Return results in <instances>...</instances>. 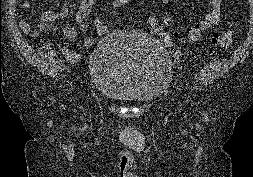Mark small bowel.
<instances>
[{"label":"small bowel","instance_id":"c3829d8e","mask_svg":"<svg viewBox=\"0 0 253 177\" xmlns=\"http://www.w3.org/2000/svg\"><path fill=\"white\" fill-rule=\"evenodd\" d=\"M95 0H81L79 8L76 13V20L79 26V29L85 31L88 29L87 18L89 17L93 4ZM165 4L169 2V0H162ZM224 0H211V9L206 13L203 21L196 27H191L187 30L186 35L191 41H198L202 38V36L207 33L211 28L218 25L223 17L222 14V4ZM33 6V0H25L23 2V8L30 9ZM71 8V0H64L60 11H52L46 10L40 16V23L45 26L48 30L52 32H56V28L52 26L50 23L56 20H60L65 18ZM95 33L99 37H104L109 33V28L106 26L104 21L99 17H95L93 21ZM19 26L24 32L30 31V26L25 20H20ZM62 36L69 41L75 40L78 34L76 28L67 26L61 30ZM96 43V39L94 36H89L84 41V46L86 48H92ZM58 49L63 57L71 62L76 63L80 59V55L76 52H73L65 45H58Z\"/></svg>","mask_w":253,"mask_h":177}]
</instances>
